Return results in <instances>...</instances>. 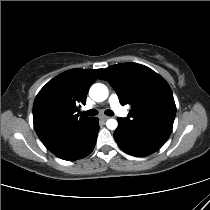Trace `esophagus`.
<instances>
[{
  "label": "esophagus",
  "instance_id": "34e87169",
  "mask_svg": "<svg viewBox=\"0 0 210 210\" xmlns=\"http://www.w3.org/2000/svg\"><path fill=\"white\" fill-rule=\"evenodd\" d=\"M100 119L106 121L109 119V117L108 116H100Z\"/></svg>",
  "mask_w": 210,
  "mask_h": 210
}]
</instances>
